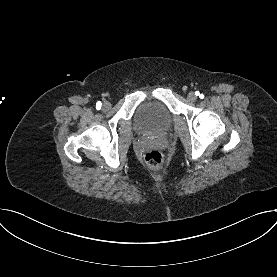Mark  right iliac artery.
Segmentation results:
<instances>
[{
	"label": "right iliac artery",
	"mask_w": 277,
	"mask_h": 277,
	"mask_svg": "<svg viewBox=\"0 0 277 277\" xmlns=\"http://www.w3.org/2000/svg\"><path fill=\"white\" fill-rule=\"evenodd\" d=\"M101 102H97V104H96V107L99 109V108H101Z\"/></svg>",
	"instance_id": "82829eb1"
}]
</instances>
